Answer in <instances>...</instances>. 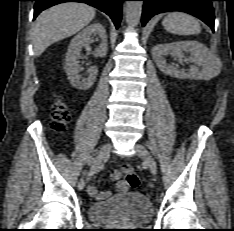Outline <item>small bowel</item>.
Wrapping results in <instances>:
<instances>
[{
	"instance_id": "obj_1",
	"label": "small bowel",
	"mask_w": 234,
	"mask_h": 231,
	"mask_svg": "<svg viewBox=\"0 0 234 231\" xmlns=\"http://www.w3.org/2000/svg\"><path fill=\"white\" fill-rule=\"evenodd\" d=\"M116 191L119 193H125L128 191V185L125 181H118L116 183ZM89 195L96 200H103L110 195V191L98 192L95 186H89Z\"/></svg>"
}]
</instances>
